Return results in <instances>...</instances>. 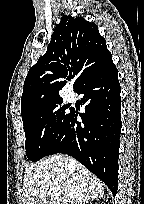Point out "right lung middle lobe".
<instances>
[{"label":"right lung middle lobe","instance_id":"obj_1","mask_svg":"<svg viewBox=\"0 0 144 204\" xmlns=\"http://www.w3.org/2000/svg\"><path fill=\"white\" fill-rule=\"evenodd\" d=\"M61 103V97L52 99L22 117L29 160L36 162L45 157L65 125L70 113Z\"/></svg>","mask_w":144,"mask_h":204}]
</instances>
